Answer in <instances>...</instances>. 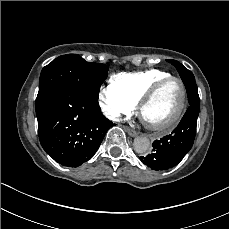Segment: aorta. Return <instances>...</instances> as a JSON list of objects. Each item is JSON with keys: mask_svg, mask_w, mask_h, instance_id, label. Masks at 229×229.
<instances>
[{"mask_svg": "<svg viewBox=\"0 0 229 229\" xmlns=\"http://www.w3.org/2000/svg\"><path fill=\"white\" fill-rule=\"evenodd\" d=\"M133 146L138 154H145L150 148V141L146 137H137L133 142Z\"/></svg>", "mask_w": 229, "mask_h": 229, "instance_id": "obj_1", "label": "aorta"}]
</instances>
